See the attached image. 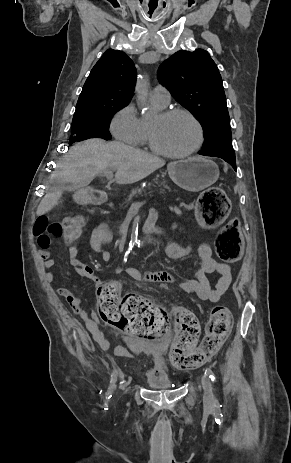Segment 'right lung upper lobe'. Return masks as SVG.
<instances>
[{
  "mask_svg": "<svg viewBox=\"0 0 291 463\" xmlns=\"http://www.w3.org/2000/svg\"><path fill=\"white\" fill-rule=\"evenodd\" d=\"M135 82L133 61L122 51L108 49L92 68L74 115L95 111L107 101L129 103Z\"/></svg>",
  "mask_w": 291,
  "mask_h": 463,
  "instance_id": "obj_1",
  "label": "right lung upper lobe"
}]
</instances>
